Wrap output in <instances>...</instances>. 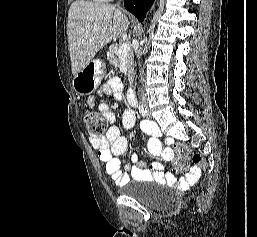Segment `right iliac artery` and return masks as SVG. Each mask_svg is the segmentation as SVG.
I'll list each match as a JSON object with an SVG mask.
<instances>
[{
    "instance_id": "right-iliac-artery-1",
    "label": "right iliac artery",
    "mask_w": 257,
    "mask_h": 237,
    "mask_svg": "<svg viewBox=\"0 0 257 237\" xmlns=\"http://www.w3.org/2000/svg\"><path fill=\"white\" fill-rule=\"evenodd\" d=\"M139 112H140V114H141L143 117H145L146 114H147V110H146L145 106L140 105V106H139Z\"/></svg>"
}]
</instances>
